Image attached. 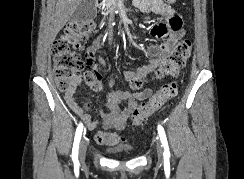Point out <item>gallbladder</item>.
<instances>
[{
  "label": "gallbladder",
  "instance_id": "bac80fb5",
  "mask_svg": "<svg viewBox=\"0 0 244 179\" xmlns=\"http://www.w3.org/2000/svg\"><path fill=\"white\" fill-rule=\"evenodd\" d=\"M97 8L95 0H82L77 10L71 16V22L81 24V22H90L96 18Z\"/></svg>",
  "mask_w": 244,
  "mask_h": 179
}]
</instances>
